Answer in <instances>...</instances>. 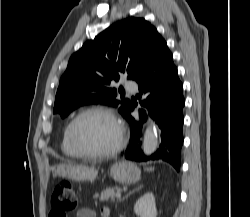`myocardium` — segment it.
<instances>
[{"label":"myocardium","instance_id":"1","mask_svg":"<svg viewBox=\"0 0 250 217\" xmlns=\"http://www.w3.org/2000/svg\"><path fill=\"white\" fill-rule=\"evenodd\" d=\"M91 113H101V114L106 115L112 120V122L115 124L117 128V133H118L117 141L113 147H111L110 149L106 151H102V152L85 151L80 147V145L78 144L76 140L75 127H76L77 122L82 117ZM68 137H69V142L71 146L74 148V150L78 153L80 157L88 158V159H102V158L112 157L123 149L126 143V130L121 119L111 108L104 106V105H93V106H89V107L82 109L73 117V119L70 121L68 125Z\"/></svg>","mask_w":250,"mask_h":217}]
</instances>
